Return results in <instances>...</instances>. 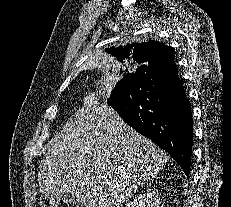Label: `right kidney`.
I'll return each mask as SVG.
<instances>
[{
    "mask_svg": "<svg viewBox=\"0 0 231 207\" xmlns=\"http://www.w3.org/2000/svg\"><path fill=\"white\" fill-rule=\"evenodd\" d=\"M126 207H162L159 194L150 189L136 196Z\"/></svg>",
    "mask_w": 231,
    "mask_h": 207,
    "instance_id": "1",
    "label": "right kidney"
}]
</instances>
